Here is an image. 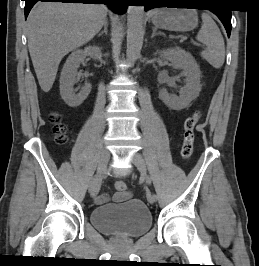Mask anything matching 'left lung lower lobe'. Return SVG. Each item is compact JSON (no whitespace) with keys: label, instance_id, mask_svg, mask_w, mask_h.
<instances>
[{"label":"left lung lower lobe","instance_id":"obj_1","mask_svg":"<svg viewBox=\"0 0 259 266\" xmlns=\"http://www.w3.org/2000/svg\"><path fill=\"white\" fill-rule=\"evenodd\" d=\"M141 3L145 6V11L154 7H177L180 5L193 4L190 0H142ZM214 12L223 23L228 37L231 33V10L220 8H207Z\"/></svg>","mask_w":259,"mask_h":266}]
</instances>
